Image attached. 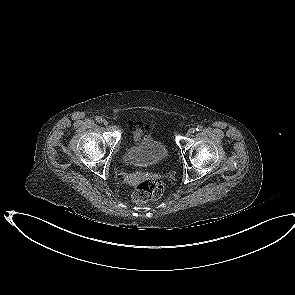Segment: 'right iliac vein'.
Wrapping results in <instances>:
<instances>
[{
	"mask_svg": "<svg viewBox=\"0 0 295 295\" xmlns=\"http://www.w3.org/2000/svg\"><path fill=\"white\" fill-rule=\"evenodd\" d=\"M103 124H104L105 126H107V125H108V121H107L106 119H104V120H103Z\"/></svg>",
	"mask_w": 295,
	"mask_h": 295,
	"instance_id": "63e3f726",
	"label": "right iliac vein"
}]
</instances>
